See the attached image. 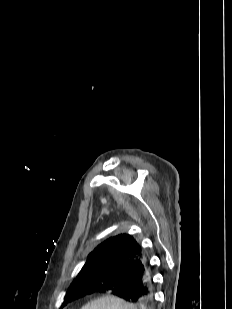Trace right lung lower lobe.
Segmentation results:
<instances>
[{"instance_id": "obj_1", "label": "right lung lower lobe", "mask_w": 232, "mask_h": 309, "mask_svg": "<svg viewBox=\"0 0 232 309\" xmlns=\"http://www.w3.org/2000/svg\"><path fill=\"white\" fill-rule=\"evenodd\" d=\"M117 273L128 274L127 281L117 280L113 283L105 281L99 286H89L86 295L110 291L112 294L134 303L137 309H154L153 281L149 263L129 262L118 266ZM85 295V296H86Z\"/></svg>"}]
</instances>
